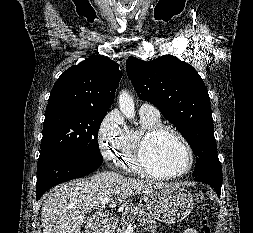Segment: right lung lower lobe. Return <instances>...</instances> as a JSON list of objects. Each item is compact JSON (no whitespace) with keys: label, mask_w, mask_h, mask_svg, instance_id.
Returning a JSON list of instances; mask_svg holds the SVG:
<instances>
[{"label":"right lung lower lobe","mask_w":253,"mask_h":233,"mask_svg":"<svg viewBox=\"0 0 253 233\" xmlns=\"http://www.w3.org/2000/svg\"><path fill=\"white\" fill-rule=\"evenodd\" d=\"M102 161L90 160L67 155H51L38 160L36 199L38 200L51 187L83 177L102 164Z\"/></svg>","instance_id":"98d812e1"}]
</instances>
